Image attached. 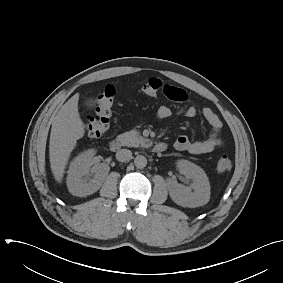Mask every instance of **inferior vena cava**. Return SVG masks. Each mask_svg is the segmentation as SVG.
<instances>
[{
	"instance_id": "obj_1",
	"label": "inferior vena cava",
	"mask_w": 283,
	"mask_h": 283,
	"mask_svg": "<svg viewBox=\"0 0 283 283\" xmlns=\"http://www.w3.org/2000/svg\"><path fill=\"white\" fill-rule=\"evenodd\" d=\"M116 159L120 162H126L132 159V152L128 149H120L116 152Z\"/></svg>"
}]
</instances>
